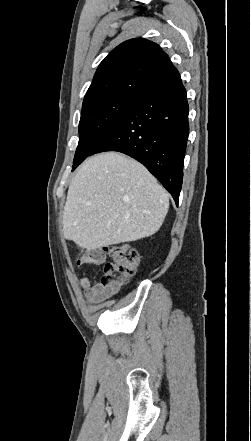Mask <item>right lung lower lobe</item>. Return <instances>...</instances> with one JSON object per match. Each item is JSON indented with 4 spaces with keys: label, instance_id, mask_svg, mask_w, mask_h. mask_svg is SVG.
<instances>
[{
    "label": "right lung lower lobe",
    "instance_id": "98d812e1",
    "mask_svg": "<svg viewBox=\"0 0 251 441\" xmlns=\"http://www.w3.org/2000/svg\"><path fill=\"white\" fill-rule=\"evenodd\" d=\"M189 106L180 74L147 91L90 155L118 151L142 163L178 205L189 135Z\"/></svg>",
    "mask_w": 251,
    "mask_h": 441
}]
</instances>
